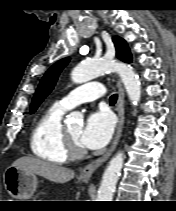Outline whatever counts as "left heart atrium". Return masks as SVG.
<instances>
[{
  "mask_svg": "<svg viewBox=\"0 0 176 211\" xmlns=\"http://www.w3.org/2000/svg\"><path fill=\"white\" fill-rule=\"evenodd\" d=\"M114 122L110 113L98 111L92 113L81 132L80 143L88 149H100L111 139Z\"/></svg>",
  "mask_w": 176,
  "mask_h": 211,
  "instance_id": "39dd6f15",
  "label": "left heart atrium"
}]
</instances>
